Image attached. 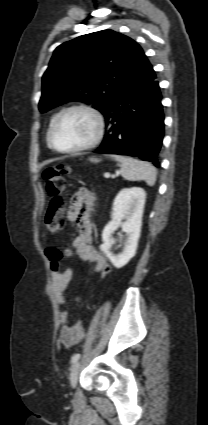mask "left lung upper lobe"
<instances>
[{"label": "left lung upper lobe", "mask_w": 208, "mask_h": 425, "mask_svg": "<svg viewBox=\"0 0 208 425\" xmlns=\"http://www.w3.org/2000/svg\"><path fill=\"white\" fill-rule=\"evenodd\" d=\"M145 59L133 39L113 30L65 42L55 49L43 75L39 110L81 101L103 113Z\"/></svg>", "instance_id": "5c2ea615"}]
</instances>
